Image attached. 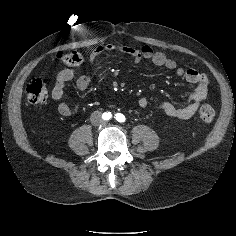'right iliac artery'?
Returning a JSON list of instances; mask_svg holds the SVG:
<instances>
[{"label": "right iliac artery", "mask_w": 236, "mask_h": 236, "mask_svg": "<svg viewBox=\"0 0 236 236\" xmlns=\"http://www.w3.org/2000/svg\"><path fill=\"white\" fill-rule=\"evenodd\" d=\"M111 117H112L111 112L104 113L103 115V118H105L106 120L110 119Z\"/></svg>", "instance_id": "1"}]
</instances>
